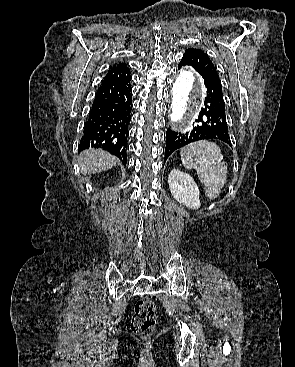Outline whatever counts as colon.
I'll return each mask as SVG.
<instances>
[{"label": "colon", "instance_id": "5ec220e1", "mask_svg": "<svg viewBox=\"0 0 295 367\" xmlns=\"http://www.w3.org/2000/svg\"><path fill=\"white\" fill-rule=\"evenodd\" d=\"M155 308L154 302L149 299L137 301L131 322V329L135 334L141 337L152 334L156 321Z\"/></svg>", "mask_w": 295, "mask_h": 367}]
</instances>
